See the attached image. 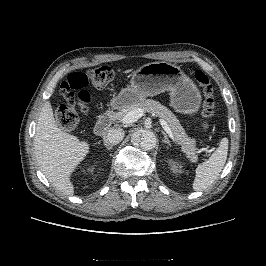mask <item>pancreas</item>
Listing matches in <instances>:
<instances>
[{
    "instance_id": "pancreas-1",
    "label": "pancreas",
    "mask_w": 266,
    "mask_h": 266,
    "mask_svg": "<svg viewBox=\"0 0 266 266\" xmlns=\"http://www.w3.org/2000/svg\"><path fill=\"white\" fill-rule=\"evenodd\" d=\"M137 108L142 109L143 113L151 112L152 114L165 120L171 128L176 142L182 146L183 151L186 153L190 161H197L198 156L196 154L195 140L188 137L176 116L167 107L161 105L159 102L152 99H147L143 100L142 102L123 107L119 110V112L113 114V119L122 121L128 112Z\"/></svg>"
}]
</instances>
